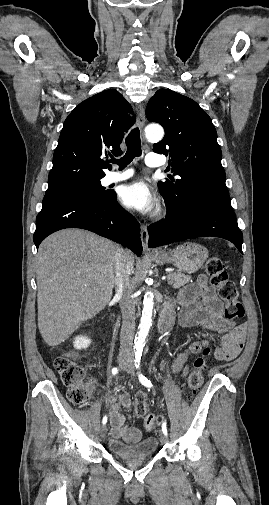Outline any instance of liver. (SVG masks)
<instances>
[{
	"mask_svg": "<svg viewBox=\"0 0 269 505\" xmlns=\"http://www.w3.org/2000/svg\"><path fill=\"white\" fill-rule=\"evenodd\" d=\"M119 246L89 231L65 229L47 237L36 256L38 327L49 346L64 342L109 303ZM129 275L134 256L126 250Z\"/></svg>",
	"mask_w": 269,
	"mask_h": 505,
	"instance_id": "6515ba94",
	"label": "liver"
}]
</instances>
